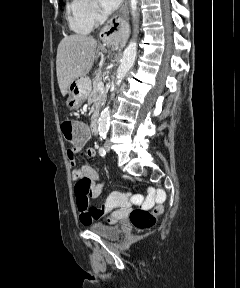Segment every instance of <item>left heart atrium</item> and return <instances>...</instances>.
Segmentation results:
<instances>
[{"mask_svg": "<svg viewBox=\"0 0 240 288\" xmlns=\"http://www.w3.org/2000/svg\"><path fill=\"white\" fill-rule=\"evenodd\" d=\"M122 0H99L102 8L110 13L114 11L121 3Z\"/></svg>", "mask_w": 240, "mask_h": 288, "instance_id": "obj_1", "label": "left heart atrium"}]
</instances>
